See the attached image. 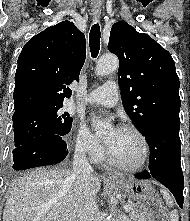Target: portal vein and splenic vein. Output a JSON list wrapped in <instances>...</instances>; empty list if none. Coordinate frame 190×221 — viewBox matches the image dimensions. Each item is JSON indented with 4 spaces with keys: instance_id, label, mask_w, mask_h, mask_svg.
<instances>
[{
    "instance_id": "1",
    "label": "portal vein and splenic vein",
    "mask_w": 190,
    "mask_h": 221,
    "mask_svg": "<svg viewBox=\"0 0 190 221\" xmlns=\"http://www.w3.org/2000/svg\"><path fill=\"white\" fill-rule=\"evenodd\" d=\"M124 209L127 210V211H129V210L132 209V207H131L130 205L127 204V205L124 206ZM58 221H60V220H58Z\"/></svg>"
}]
</instances>
